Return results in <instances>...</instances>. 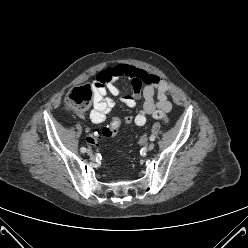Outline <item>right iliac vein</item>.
Returning <instances> with one entry per match:
<instances>
[{
	"instance_id": "right-iliac-vein-1",
	"label": "right iliac vein",
	"mask_w": 248,
	"mask_h": 248,
	"mask_svg": "<svg viewBox=\"0 0 248 248\" xmlns=\"http://www.w3.org/2000/svg\"><path fill=\"white\" fill-rule=\"evenodd\" d=\"M87 154L89 155V156H92L93 155V152H92V150L89 148V149H87Z\"/></svg>"
}]
</instances>
